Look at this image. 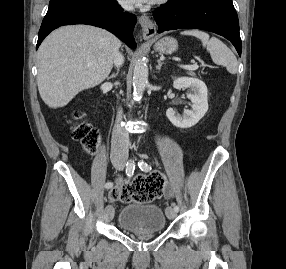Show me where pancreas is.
<instances>
[{
	"mask_svg": "<svg viewBox=\"0 0 286 269\" xmlns=\"http://www.w3.org/2000/svg\"><path fill=\"white\" fill-rule=\"evenodd\" d=\"M188 74L191 75V76H195V73L192 72V71L188 72Z\"/></svg>",
	"mask_w": 286,
	"mask_h": 269,
	"instance_id": "pancreas-1",
	"label": "pancreas"
}]
</instances>
